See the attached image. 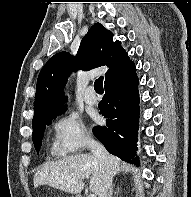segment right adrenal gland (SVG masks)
<instances>
[{"label": "right adrenal gland", "instance_id": "2a0ac1e0", "mask_svg": "<svg viewBox=\"0 0 191 197\" xmlns=\"http://www.w3.org/2000/svg\"><path fill=\"white\" fill-rule=\"evenodd\" d=\"M112 195H113V186L111 187V191H110L109 197H112Z\"/></svg>", "mask_w": 191, "mask_h": 197}]
</instances>
